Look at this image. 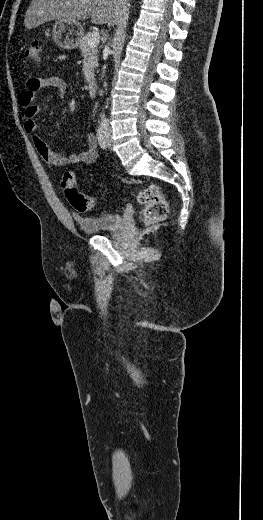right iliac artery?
I'll use <instances>...</instances> for the list:
<instances>
[{"label":"right iliac artery","instance_id":"82829eb1","mask_svg":"<svg viewBox=\"0 0 263 520\" xmlns=\"http://www.w3.org/2000/svg\"><path fill=\"white\" fill-rule=\"evenodd\" d=\"M97 139H98V143H99L100 147L102 149H105L106 141H105V136H104V131H103L102 126H99L97 129Z\"/></svg>","mask_w":263,"mask_h":520}]
</instances>
